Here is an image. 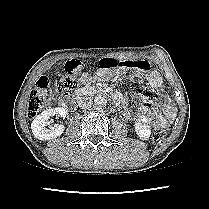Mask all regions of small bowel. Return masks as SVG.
<instances>
[{"instance_id":"1","label":"small bowel","mask_w":209,"mask_h":209,"mask_svg":"<svg viewBox=\"0 0 209 209\" xmlns=\"http://www.w3.org/2000/svg\"><path fill=\"white\" fill-rule=\"evenodd\" d=\"M138 62L142 65L133 68H126L123 66H100L94 75H91L88 72H82L80 75V82L83 85H89L95 80L105 81L111 77L118 79L131 70L132 76L146 81V86L143 88V92L137 98L140 101L138 108L139 113L143 116L149 117L157 129L160 127H167L168 123L176 114V108L171 101L159 91V88L162 85V77L159 72L150 69L148 63L145 61ZM152 98L158 100L159 104H151ZM126 116H129V113H126Z\"/></svg>"}]
</instances>
